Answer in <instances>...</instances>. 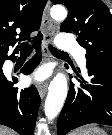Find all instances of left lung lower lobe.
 I'll return each mask as SVG.
<instances>
[{"instance_id": "0a47b994", "label": "left lung lower lobe", "mask_w": 112, "mask_h": 135, "mask_svg": "<svg viewBox=\"0 0 112 135\" xmlns=\"http://www.w3.org/2000/svg\"><path fill=\"white\" fill-rule=\"evenodd\" d=\"M87 69L91 84L77 72L75 78L81 85L70 82L69 93L57 122L58 135H66L90 123L112 126V66L91 65Z\"/></svg>"}]
</instances>
